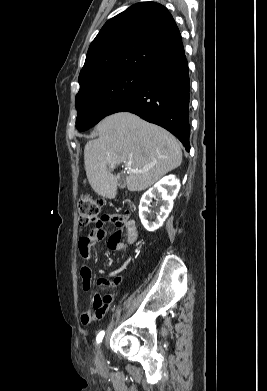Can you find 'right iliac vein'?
I'll return each instance as SVG.
<instances>
[{
    "label": "right iliac vein",
    "mask_w": 267,
    "mask_h": 391,
    "mask_svg": "<svg viewBox=\"0 0 267 391\" xmlns=\"http://www.w3.org/2000/svg\"><path fill=\"white\" fill-rule=\"evenodd\" d=\"M96 364L97 366L101 367L103 365V353H102V349L101 348H98L97 352H96Z\"/></svg>",
    "instance_id": "obj_1"
}]
</instances>
